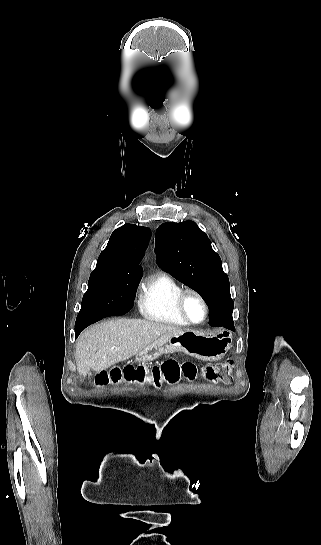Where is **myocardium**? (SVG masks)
Returning <instances> with one entry per match:
<instances>
[{"instance_id":"obj_1","label":"myocardium","mask_w":321,"mask_h":545,"mask_svg":"<svg viewBox=\"0 0 321 545\" xmlns=\"http://www.w3.org/2000/svg\"><path fill=\"white\" fill-rule=\"evenodd\" d=\"M195 295L196 297H198V299L200 300V302L202 303L203 305V308H204V315H203V318L196 322V321H193L186 313L185 311V307H184V302H185V298L188 296V295ZM174 308H175V312L177 314V316L185 323L187 324L188 326H199L201 324H203L207 318H208V315H209V305L205 299V297L203 296V294L201 292H199L198 290L194 289V288H186V289H182L176 296L175 298V304H174Z\"/></svg>"}]
</instances>
